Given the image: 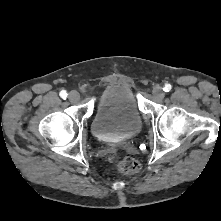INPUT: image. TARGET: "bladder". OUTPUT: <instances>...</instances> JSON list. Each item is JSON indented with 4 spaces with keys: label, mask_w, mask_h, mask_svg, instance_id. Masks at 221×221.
I'll return each mask as SVG.
<instances>
[{
    "label": "bladder",
    "mask_w": 221,
    "mask_h": 221,
    "mask_svg": "<svg viewBox=\"0 0 221 221\" xmlns=\"http://www.w3.org/2000/svg\"><path fill=\"white\" fill-rule=\"evenodd\" d=\"M142 128V119L133 91L124 84H112L104 89L91 122L93 135L105 142L130 139Z\"/></svg>",
    "instance_id": "1"
}]
</instances>
